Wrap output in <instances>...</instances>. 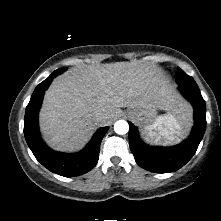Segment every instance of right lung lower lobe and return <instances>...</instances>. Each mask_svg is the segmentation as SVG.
<instances>
[{"label": "right lung lower lobe", "mask_w": 221, "mask_h": 221, "mask_svg": "<svg viewBox=\"0 0 221 221\" xmlns=\"http://www.w3.org/2000/svg\"><path fill=\"white\" fill-rule=\"evenodd\" d=\"M53 78V76H49L35 88L25 111L24 135L35 158L44 167L61 176L74 177L90 171L97 164L101 140L108 127L100 128L88 145L78 153L63 154L48 148L39 134L38 112L45 90Z\"/></svg>", "instance_id": "1"}]
</instances>
